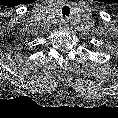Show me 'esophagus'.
I'll use <instances>...</instances> for the list:
<instances>
[{
	"label": "esophagus",
	"instance_id": "obj_1",
	"mask_svg": "<svg viewBox=\"0 0 118 118\" xmlns=\"http://www.w3.org/2000/svg\"><path fill=\"white\" fill-rule=\"evenodd\" d=\"M66 26H67V25L65 24V22H61V23L59 24V27H60L61 30H65Z\"/></svg>",
	"mask_w": 118,
	"mask_h": 118
}]
</instances>
